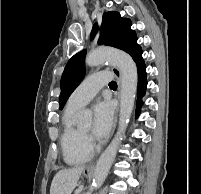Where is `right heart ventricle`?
Returning a JSON list of instances; mask_svg holds the SVG:
<instances>
[{
	"mask_svg": "<svg viewBox=\"0 0 201 194\" xmlns=\"http://www.w3.org/2000/svg\"><path fill=\"white\" fill-rule=\"evenodd\" d=\"M78 109L67 105L62 116L60 143L63 158L70 165L85 163L92 156V149L88 145L85 135L74 123V115Z\"/></svg>",
	"mask_w": 201,
	"mask_h": 194,
	"instance_id": "obj_1",
	"label": "right heart ventricle"
}]
</instances>
